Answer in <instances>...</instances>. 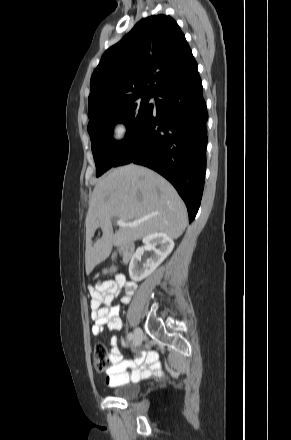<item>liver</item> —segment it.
<instances>
[{"label":"liver","instance_id":"liver-1","mask_svg":"<svg viewBox=\"0 0 291 440\" xmlns=\"http://www.w3.org/2000/svg\"><path fill=\"white\" fill-rule=\"evenodd\" d=\"M125 223L142 220L135 227L113 232L112 219ZM187 226V210L175 188L156 172L134 164L111 170L95 186L86 216V273L122 246L152 233L179 238ZM97 228L103 235L92 241Z\"/></svg>","mask_w":291,"mask_h":440}]
</instances>
